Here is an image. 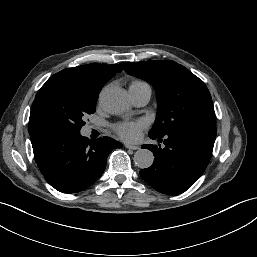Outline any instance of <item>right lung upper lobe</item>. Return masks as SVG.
<instances>
[{"mask_svg":"<svg viewBox=\"0 0 257 257\" xmlns=\"http://www.w3.org/2000/svg\"><path fill=\"white\" fill-rule=\"evenodd\" d=\"M124 63L119 65L87 64L64 69L54 74L48 81H60L80 89L88 96L98 97L101 88L116 73L123 70Z\"/></svg>","mask_w":257,"mask_h":257,"instance_id":"right-lung-upper-lobe-1","label":"right lung upper lobe"}]
</instances>
